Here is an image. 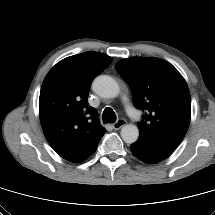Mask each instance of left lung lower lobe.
I'll return each mask as SVG.
<instances>
[{
  "label": "left lung lower lobe",
  "mask_w": 215,
  "mask_h": 215,
  "mask_svg": "<svg viewBox=\"0 0 215 215\" xmlns=\"http://www.w3.org/2000/svg\"><path fill=\"white\" fill-rule=\"evenodd\" d=\"M130 149L136 158L149 164L158 163L173 153L140 138L131 144Z\"/></svg>",
  "instance_id": "0a47b994"
}]
</instances>
